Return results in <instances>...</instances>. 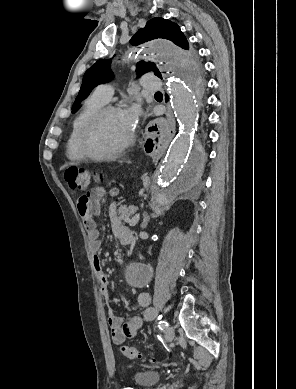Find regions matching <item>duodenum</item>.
I'll list each match as a JSON object with an SVG mask.
<instances>
[{"label":"duodenum","instance_id":"obj_1","mask_svg":"<svg viewBox=\"0 0 296 389\" xmlns=\"http://www.w3.org/2000/svg\"><path fill=\"white\" fill-rule=\"evenodd\" d=\"M130 242H131V239L130 238H128V237H125V238H122L121 239V243L123 244V245H128V244H130Z\"/></svg>","mask_w":296,"mask_h":389}]
</instances>
